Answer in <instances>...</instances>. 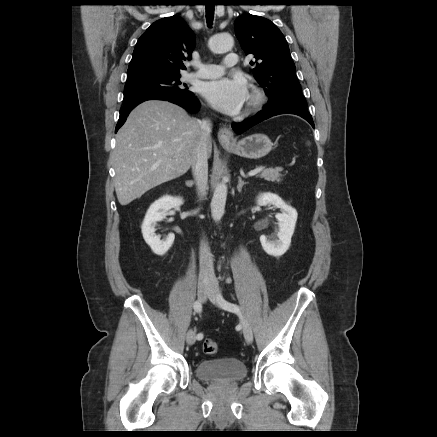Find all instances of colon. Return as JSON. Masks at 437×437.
Segmentation results:
<instances>
[{"mask_svg":"<svg viewBox=\"0 0 437 437\" xmlns=\"http://www.w3.org/2000/svg\"><path fill=\"white\" fill-rule=\"evenodd\" d=\"M203 351L206 354L213 355L218 351V345L215 341L207 339L203 343Z\"/></svg>","mask_w":437,"mask_h":437,"instance_id":"5ec220e1","label":"colon"}]
</instances>
